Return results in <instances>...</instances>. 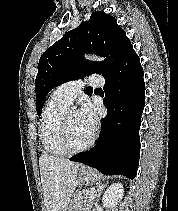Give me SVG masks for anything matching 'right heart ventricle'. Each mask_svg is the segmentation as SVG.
I'll use <instances>...</instances> for the list:
<instances>
[{
	"label": "right heart ventricle",
	"mask_w": 178,
	"mask_h": 211,
	"mask_svg": "<svg viewBox=\"0 0 178 211\" xmlns=\"http://www.w3.org/2000/svg\"><path fill=\"white\" fill-rule=\"evenodd\" d=\"M69 103L56 96L48 100L40 122V138L45 151L54 156L66 154L59 143L61 120Z\"/></svg>",
	"instance_id": "e07e8e85"
}]
</instances>
